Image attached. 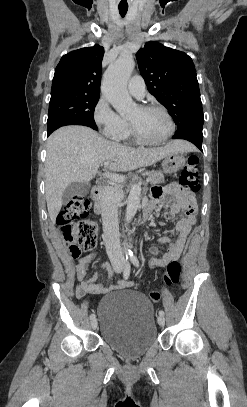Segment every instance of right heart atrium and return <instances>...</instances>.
<instances>
[{"mask_svg": "<svg viewBox=\"0 0 247 407\" xmlns=\"http://www.w3.org/2000/svg\"><path fill=\"white\" fill-rule=\"evenodd\" d=\"M93 120L103 135L113 140H119L127 127V122L112 108L105 96L96 102Z\"/></svg>", "mask_w": 247, "mask_h": 407, "instance_id": "right-heart-atrium-1", "label": "right heart atrium"}]
</instances>
